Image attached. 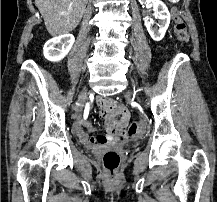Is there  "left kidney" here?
I'll return each mask as SVG.
<instances>
[{
    "instance_id": "5707ae66",
    "label": "left kidney",
    "mask_w": 217,
    "mask_h": 202,
    "mask_svg": "<svg viewBox=\"0 0 217 202\" xmlns=\"http://www.w3.org/2000/svg\"><path fill=\"white\" fill-rule=\"evenodd\" d=\"M139 2L140 4H144V2H147V0H139ZM152 2L154 16H157L158 20H160L158 24L159 30H157V28H152L153 22L149 16L144 18V24L152 40H154V42H160V40L164 38L166 30H168V26L170 24V14L168 8H166L163 2H160V0H152Z\"/></svg>"
}]
</instances>
